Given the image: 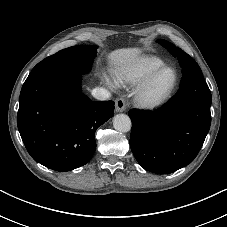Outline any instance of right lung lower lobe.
<instances>
[{"label": "right lung lower lobe", "mask_w": 227, "mask_h": 227, "mask_svg": "<svg viewBox=\"0 0 227 227\" xmlns=\"http://www.w3.org/2000/svg\"><path fill=\"white\" fill-rule=\"evenodd\" d=\"M81 76L61 75L22 87L17 125L31 157L65 172L85 165L96 149L95 132L114 115L113 101H91Z\"/></svg>", "instance_id": "98d812e1"}]
</instances>
